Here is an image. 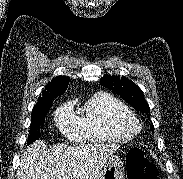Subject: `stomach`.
Instances as JSON below:
<instances>
[{"label":"stomach","mask_w":183,"mask_h":179,"mask_svg":"<svg viewBox=\"0 0 183 179\" xmlns=\"http://www.w3.org/2000/svg\"><path fill=\"white\" fill-rule=\"evenodd\" d=\"M123 164L119 156H112L105 163L97 179H124Z\"/></svg>","instance_id":"0dacf381"}]
</instances>
